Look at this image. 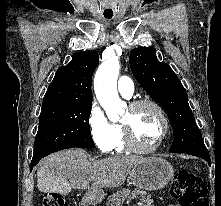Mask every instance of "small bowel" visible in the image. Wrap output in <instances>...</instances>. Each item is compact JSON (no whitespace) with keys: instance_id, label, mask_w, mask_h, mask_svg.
I'll return each instance as SVG.
<instances>
[{"instance_id":"small-bowel-1","label":"small bowel","mask_w":221,"mask_h":206,"mask_svg":"<svg viewBox=\"0 0 221 206\" xmlns=\"http://www.w3.org/2000/svg\"><path fill=\"white\" fill-rule=\"evenodd\" d=\"M169 206H177V205H169Z\"/></svg>"}]
</instances>
